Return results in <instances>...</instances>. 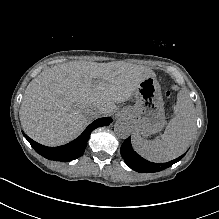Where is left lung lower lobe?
<instances>
[{"label":"left lung lower lobe","mask_w":219,"mask_h":219,"mask_svg":"<svg viewBox=\"0 0 219 219\" xmlns=\"http://www.w3.org/2000/svg\"><path fill=\"white\" fill-rule=\"evenodd\" d=\"M121 155L126 164L140 173H153L164 170L178 162L184 155L167 163H153L139 156L131 146L130 138L126 139L121 146Z\"/></svg>","instance_id":"obj_1"}]
</instances>
